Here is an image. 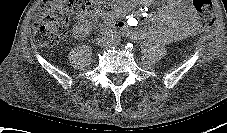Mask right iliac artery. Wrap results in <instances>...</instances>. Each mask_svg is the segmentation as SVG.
<instances>
[{
  "label": "right iliac artery",
  "mask_w": 227,
  "mask_h": 133,
  "mask_svg": "<svg viewBox=\"0 0 227 133\" xmlns=\"http://www.w3.org/2000/svg\"><path fill=\"white\" fill-rule=\"evenodd\" d=\"M105 34H107L108 37H112L113 40V36L115 37L116 32H105Z\"/></svg>",
  "instance_id": "obj_1"
}]
</instances>
